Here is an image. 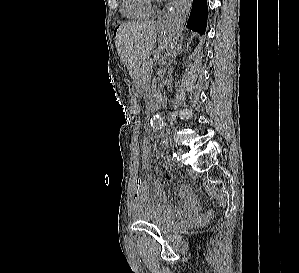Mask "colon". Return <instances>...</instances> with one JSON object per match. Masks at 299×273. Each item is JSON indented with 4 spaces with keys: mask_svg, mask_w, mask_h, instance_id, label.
Wrapping results in <instances>:
<instances>
[{
    "mask_svg": "<svg viewBox=\"0 0 299 273\" xmlns=\"http://www.w3.org/2000/svg\"><path fill=\"white\" fill-rule=\"evenodd\" d=\"M141 147H142V149L149 148V140L146 136H144L141 140ZM213 216H214V211L210 210L207 212V214L200 216L199 220L201 222H206V221H209Z\"/></svg>",
    "mask_w": 299,
    "mask_h": 273,
    "instance_id": "obj_1",
    "label": "colon"
}]
</instances>
